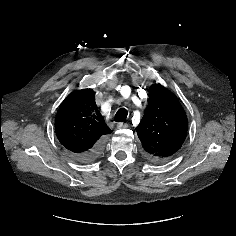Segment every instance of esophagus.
I'll use <instances>...</instances> for the list:
<instances>
[{
  "mask_svg": "<svg viewBox=\"0 0 236 236\" xmlns=\"http://www.w3.org/2000/svg\"><path fill=\"white\" fill-rule=\"evenodd\" d=\"M128 127V125L126 124V123H123V122H119L118 124H117V128L118 129H125V128H127Z\"/></svg>",
  "mask_w": 236,
  "mask_h": 236,
  "instance_id": "1",
  "label": "esophagus"
}]
</instances>
